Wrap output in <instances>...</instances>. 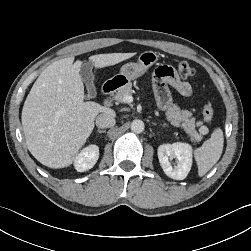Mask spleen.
I'll return each mask as SVG.
<instances>
[{
  "label": "spleen",
  "mask_w": 251,
  "mask_h": 251,
  "mask_svg": "<svg viewBox=\"0 0 251 251\" xmlns=\"http://www.w3.org/2000/svg\"><path fill=\"white\" fill-rule=\"evenodd\" d=\"M223 143V131L220 128H216L211 137L200 148L195 150L199 176L205 175L220 159Z\"/></svg>",
  "instance_id": "obj_1"
}]
</instances>
